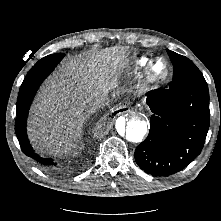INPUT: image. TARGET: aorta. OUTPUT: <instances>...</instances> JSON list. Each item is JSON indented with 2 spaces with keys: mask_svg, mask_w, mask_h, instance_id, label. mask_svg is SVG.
Listing matches in <instances>:
<instances>
[{
  "mask_svg": "<svg viewBox=\"0 0 221 221\" xmlns=\"http://www.w3.org/2000/svg\"><path fill=\"white\" fill-rule=\"evenodd\" d=\"M146 132L147 121L142 115H123L115 121V133L122 141L142 142Z\"/></svg>",
  "mask_w": 221,
  "mask_h": 221,
  "instance_id": "762f6f07",
  "label": "aorta"
}]
</instances>
